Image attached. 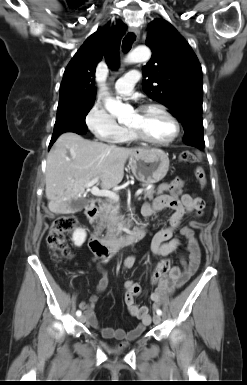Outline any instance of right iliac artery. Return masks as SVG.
I'll return each instance as SVG.
<instances>
[{
    "mask_svg": "<svg viewBox=\"0 0 247 385\" xmlns=\"http://www.w3.org/2000/svg\"><path fill=\"white\" fill-rule=\"evenodd\" d=\"M81 311L80 310H77V312H76V315L79 317V316H81Z\"/></svg>",
    "mask_w": 247,
    "mask_h": 385,
    "instance_id": "1",
    "label": "right iliac artery"
}]
</instances>
